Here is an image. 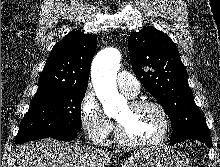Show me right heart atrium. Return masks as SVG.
<instances>
[{"instance_id":"obj_1","label":"right heart atrium","mask_w":220,"mask_h":167,"mask_svg":"<svg viewBox=\"0 0 220 167\" xmlns=\"http://www.w3.org/2000/svg\"><path fill=\"white\" fill-rule=\"evenodd\" d=\"M81 127L95 143L104 142L113 130L112 121L104 114L95 95L86 91L79 106Z\"/></svg>"}]
</instances>
